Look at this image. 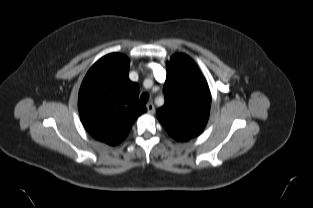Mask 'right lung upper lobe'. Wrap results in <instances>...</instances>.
Listing matches in <instances>:
<instances>
[{"instance_id": "1", "label": "right lung upper lobe", "mask_w": 313, "mask_h": 208, "mask_svg": "<svg viewBox=\"0 0 313 208\" xmlns=\"http://www.w3.org/2000/svg\"><path fill=\"white\" fill-rule=\"evenodd\" d=\"M139 86L129 79V60L119 53L99 59L86 74L78 96L81 120L88 132L108 145H117L128 135L139 115Z\"/></svg>"}]
</instances>
